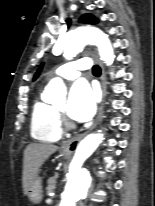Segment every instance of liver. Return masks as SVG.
<instances>
[{"label":"liver","instance_id":"obj_1","mask_svg":"<svg viewBox=\"0 0 155 206\" xmlns=\"http://www.w3.org/2000/svg\"><path fill=\"white\" fill-rule=\"evenodd\" d=\"M58 150V147L49 143H32L24 151L23 161V191L28 194V189L34 177L37 176L44 162Z\"/></svg>","mask_w":155,"mask_h":206}]
</instances>
